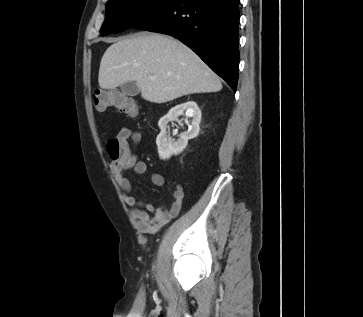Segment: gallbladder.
Returning <instances> with one entry per match:
<instances>
[{
	"instance_id": "obj_1",
	"label": "gallbladder",
	"mask_w": 363,
	"mask_h": 317,
	"mask_svg": "<svg viewBox=\"0 0 363 317\" xmlns=\"http://www.w3.org/2000/svg\"><path fill=\"white\" fill-rule=\"evenodd\" d=\"M120 89L124 95L136 96L139 93V88L134 81H128L120 86Z\"/></svg>"
}]
</instances>
